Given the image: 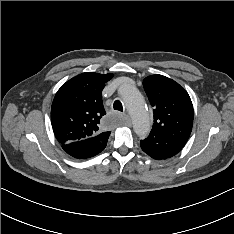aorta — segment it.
<instances>
[{
    "label": "aorta",
    "instance_id": "762f6f07",
    "mask_svg": "<svg viewBox=\"0 0 234 234\" xmlns=\"http://www.w3.org/2000/svg\"><path fill=\"white\" fill-rule=\"evenodd\" d=\"M120 96L129 110L135 133L145 138L150 132V120L142 95L128 84L120 88Z\"/></svg>",
    "mask_w": 234,
    "mask_h": 234
}]
</instances>
